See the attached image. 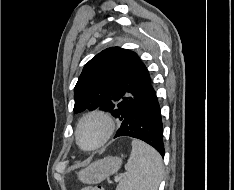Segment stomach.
<instances>
[{"label":"stomach","mask_w":234,"mask_h":190,"mask_svg":"<svg viewBox=\"0 0 234 190\" xmlns=\"http://www.w3.org/2000/svg\"><path fill=\"white\" fill-rule=\"evenodd\" d=\"M121 163L122 160L117 157L104 158L79 171L78 179L86 184H98L110 175L117 173Z\"/></svg>","instance_id":"0dacf381"}]
</instances>
